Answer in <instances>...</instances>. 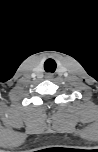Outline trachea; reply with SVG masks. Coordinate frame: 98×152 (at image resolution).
Instances as JSON below:
<instances>
[{
  "mask_svg": "<svg viewBox=\"0 0 98 152\" xmlns=\"http://www.w3.org/2000/svg\"><path fill=\"white\" fill-rule=\"evenodd\" d=\"M56 62L53 59H47L44 63V69L46 72L53 73L56 70Z\"/></svg>",
  "mask_w": 98,
  "mask_h": 152,
  "instance_id": "1",
  "label": "trachea"
}]
</instances>
